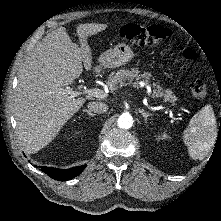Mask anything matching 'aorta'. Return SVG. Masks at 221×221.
Returning a JSON list of instances; mask_svg holds the SVG:
<instances>
[{
	"mask_svg": "<svg viewBox=\"0 0 221 221\" xmlns=\"http://www.w3.org/2000/svg\"><path fill=\"white\" fill-rule=\"evenodd\" d=\"M117 124L122 129H129L133 125V118L129 113H123L119 116Z\"/></svg>",
	"mask_w": 221,
	"mask_h": 221,
	"instance_id": "762f6f07",
	"label": "aorta"
}]
</instances>
